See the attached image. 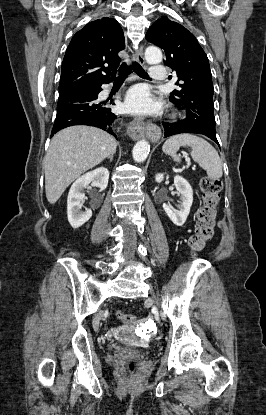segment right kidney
Segmentation results:
<instances>
[{
    "mask_svg": "<svg viewBox=\"0 0 266 415\" xmlns=\"http://www.w3.org/2000/svg\"><path fill=\"white\" fill-rule=\"evenodd\" d=\"M108 179L109 171L100 167L84 174L72 184L67 198V214L68 221L73 228H79L92 217L91 209L81 211L80 202L85 196L83 190L92 183L93 186L103 191L108 185Z\"/></svg>",
    "mask_w": 266,
    "mask_h": 415,
    "instance_id": "ca27d5eb",
    "label": "right kidney"
}]
</instances>
